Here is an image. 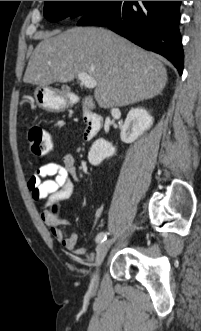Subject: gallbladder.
I'll return each instance as SVG.
<instances>
[{
  "label": "gallbladder",
  "instance_id": "bac80fb5",
  "mask_svg": "<svg viewBox=\"0 0 201 331\" xmlns=\"http://www.w3.org/2000/svg\"><path fill=\"white\" fill-rule=\"evenodd\" d=\"M61 89L64 96H67L70 92V88L67 85H63Z\"/></svg>",
  "mask_w": 201,
  "mask_h": 331
}]
</instances>
